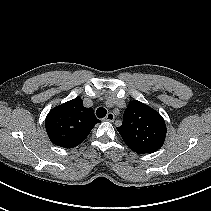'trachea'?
I'll use <instances>...</instances> for the list:
<instances>
[{
    "label": "trachea",
    "instance_id": "1",
    "mask_svg": "<svg viewBox=\"0 0 211 211\" xmlns=\"http://www.w3.org/2000/svg\"><path fill=\"white\" fill-rule=\"evenodd\" d=\"M106 114H107V110L105 108L100 107L96 110V115L98 118H103L106 116Z\"/></svg>",
    "mask_w": 211,
    "mask_h": 211
}]
</instances>
